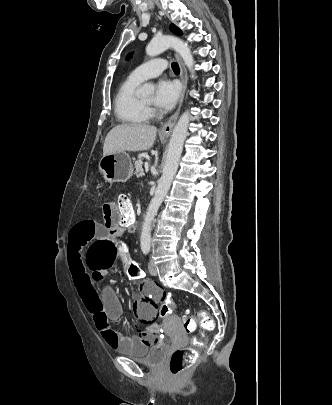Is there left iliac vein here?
Returning <instances> with one entry per match:
<instances>
[{
    "instance_id": "4c4485c4",
    "label": "left iliac vein",
    "mask_w": 332,
    "mask_h": 405,
    "mask_svg": "<svg viewBox=\"0 0 332 405\" xmlns=\"http://www.w3.org/2000/svg\"><path fill=\"white\" fill-rule=\"evenodd\" d=\"M148 269H149V272L151 275L156 276L158 274V271H157V268H156V265H155L153 259H150Z\"/></svg>"
}]
</instances>
